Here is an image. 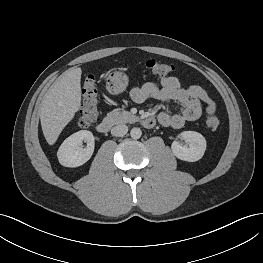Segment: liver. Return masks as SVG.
<instances>
[{"label": "liver", "instance_id": "liver-1", "mask_svg": "<svg viewBox=\"0 0 263 263\" xmlns=\"http://www.w3.org/2000/svg\"><path fill=\"white\" fill-rule=\"evenodd\" d=\"M81 68L68 69L48 89L40 107L44 137L53 145L81 107Z\"/></svg>", "mask_w": 263, "mask_h": 263}]
</instances>
